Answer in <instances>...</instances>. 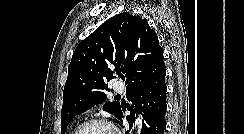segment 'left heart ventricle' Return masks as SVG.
<instances>
[{"instance_id": "1", "label": "left heart ventricle", "mask_w": 244, "mask_h": 134, "mask_svg": "<svg viewBox=\"0 0 244 134\" xmlns=\"http://www.w3.org/2000/svg\"><path fill=\"white\" fill-rule=\"evenodd\" d=\"M81 134H112V132L101 125H93L82 131Z\"/></svg>"}]
</instances>
